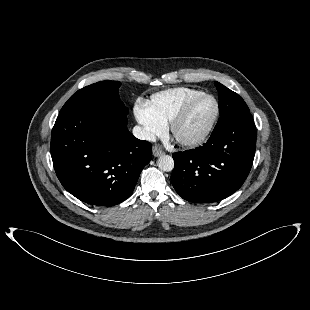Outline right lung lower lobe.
Masks as SVG:
<instances>
[{
  "instance_id": "obj_1",
  "label": "right lung lower lobe",
  "mask_w": 310,
  "mask_h": 310,
  "mask_svg": "<svg viewBox=\"0 0 310 310\" xmlns=\"http://www.w3.org/2000/svg\"><path fill=\"white\" fill-rule=\"evenodd\" d=\"M51 156L63 187L79 200L113 206L133 192L150 162V142L127 129V115L84 106L59 114L52 130Z\"/></svg>"
}]
</instances>
